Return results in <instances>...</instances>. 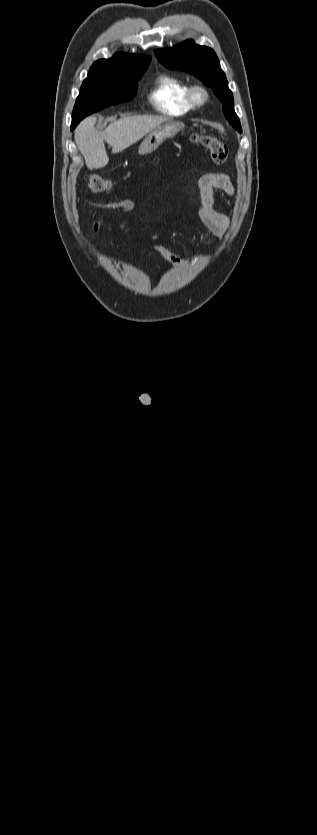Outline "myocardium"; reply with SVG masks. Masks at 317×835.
<instances>
[{
    "instance_id": "myocardium-1",
    "label": "myocardium",
    "mask_w": 317,
    "mask_h": 835,
    "mask_svg": "<svg viewBox=\"0 0 317 835\" xmlns=\"http://www.w3.org/2000/svg\"><path fill=\"white\" fill-rule=\"evenodd\" d=\"M187 100L193 108L202 107L209 100V91L202 84H193L188 87Z\"/></svg>"
}]
</instances>
